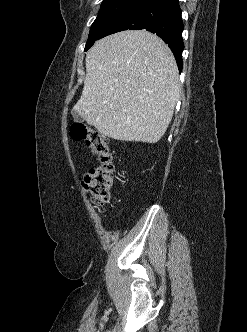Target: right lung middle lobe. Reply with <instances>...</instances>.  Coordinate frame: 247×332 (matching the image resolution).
I'll return each instance as SVG.
<instances>
[{"mask_svg":"<svg viewBox=\"0 0 247 332\" xmlns=\"http://www.w3.org/2000/svg\"><path fill=\"white\" fill-rule=\"evenodd\" d=\"M147 0H103L98 16L93 22L84 51H87L114 21L144 4Z\"/></svg>","mask_w":247,"mask_h":332,"instance_id":"1","label":"right lung middle lobe"}]
</instances>
